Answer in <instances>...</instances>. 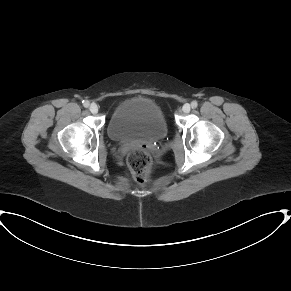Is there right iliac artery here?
<instances>
[{
  "label": "right iliac artery",
  "mask_w": 291,
  "mask_h": 291,
  "mask_svg": "<svg viewBox=\"0 0 291 291\" xmlns=\"http://www.w3.org/2000/svg\"><path fill=\"white\" fill-rule=\"evenodd\" d=\"M82 103H83V106L86 108H88L90 105L89 101H87V100L83 101Z\"/></svg>",
  "instance_id": "obj_1"
}]
</instances>
